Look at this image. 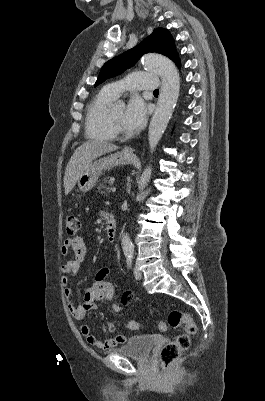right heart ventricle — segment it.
<instances>
[{
  "label": "right heart ventricle",
  "mask_w": 265,
  "mask_h": 401,
  "mask_svg": "<svg viewBox=\"0 0 265 401\" xmlns=\"http://www.w3.org/2000/svg\"><path fill=\"white\" fill-rule=\"evenodd\" d=\"M115 98L108 92L107 87H103L88 103L85 115V130L89 138L102 141L115 138L116 135L112 132L108 122L110 107Z\"/></svg>",
  "instance_id": "right-heart-ventricle-1"
}]
</instances>
